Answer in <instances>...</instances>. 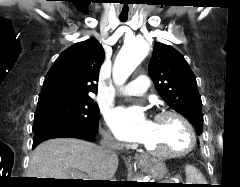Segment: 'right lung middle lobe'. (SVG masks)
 <instances>
[{"instance_id": "right-lung-middle-lobe-1", "label": "right lung middle lobe", "mask_w": 240, "mask_h": 187, "mask_svg": "<svg viewBox=\"0 0 240 187\" xmlns=\"http://www.w3.org/2000/svg\"><path fill=\"white\" fill-rule=\"evenodd\" d=\"M99 108L92 99L57 100L40 104L34 118L33 132L59 125L85 131L98 128Z\"/></svg>"}]
</instances>
